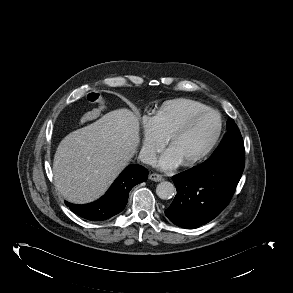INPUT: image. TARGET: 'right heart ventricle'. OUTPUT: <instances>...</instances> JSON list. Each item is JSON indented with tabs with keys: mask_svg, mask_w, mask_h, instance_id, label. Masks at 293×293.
<instances>
[{
	"mask_svg": "<svg viewBox=\"0 0 293 293\" xmlns=\"http://www.w3.org/2000/svg\"><path fill=\"white\" fill-rule=\"evenodd\" d=\"M208 108L196 100L177 98L164 102L152 117L159 133L167 139L189 116Z\"/></svg>",
	"mask_w": 293,
	"mask_h": 293,
	"instance_id": "e07e8e85",
	"label": "right heart ventricle"
}]
</instances>
